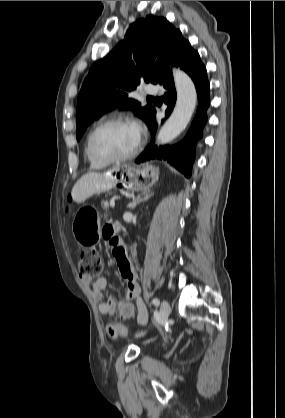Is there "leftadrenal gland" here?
<instances>
[{"instance_id": "a2214340", "label": "left adrenal gland", "mask_w": 285, "mask_h": 418, "mask_svg": "<svg viewBox=\"0 0 285 418\" xmlns=\"http://www.w3.org/2000/svg\"><path fill=\"white\" fill-rule=\"evenodd\" d=\"M153 195L152 192H150V190L144 192L141 195H138L136 198L133 199V201L130 203V208L134 209L136 207L137 204L144 202L146 200H148L151 196Z\"/></svg>"}]
</instances>
